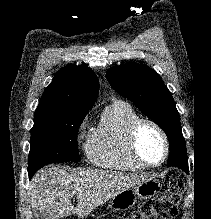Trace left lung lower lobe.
Wrapping results in <instances>:
<instances>
[{
    "label": "left lung lower lobe",
    "mask_w": 211,
    "mask_h": 219,
    "mask_svg": "<svg viewBox=\"0 0 211 219\" xmlns=\"http://www.w3.org/2000/svg\"><path fill=\"white\" fill-rule=\"evenodd\" d=\"M167 164L168 166H177L183 169L184 171L188 172V161L182 160L177 152H170Z\"/></svg>",
    "instance_id": "0a47b994"
}]
</instances>
